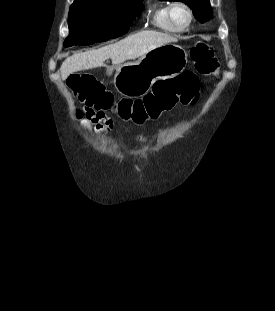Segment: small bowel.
I'll use <instances>...</instances> for the list:
<instances>
[{"label": "small bowel", "instance_id": "obj_1", "mask_svg": "<svg viewBox=\"0 0 275 311\" xmlns=\"http://www.w3.org/2000/svg\"><path fill=\"white\" fill-rule=\"evenodd\" d=\"M76 117L78 119H84L87 123L93 122L94 127L93 130L96 133H102L112 130L113 123L110 119L106 118L102 112H96L92 108L86 107L83 111L77 110ZM164 128H160L156 137L164 133ZM136 141L140 144H144L147 142V137L144 135H140L137 137Z\"/></svg>", "mask_w": 275, "mask_h": 311}]
</instances>
